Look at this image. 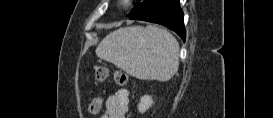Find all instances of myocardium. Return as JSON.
Listing matches in <instances>:
<instances>
[{"instance_id": "obj_1", "label": "myocardium", "mask_w": 273, "mask_h": 118, "mask_svg": "<svg viewBox=\"0 0 273 118\" xmlns=\"http://www.w3.org/2000/svg\"><path fill=\"white\" fill-rule=\"evenodd\" d=\"M130 2H131V1H129V0L120 1L121 5H122L124 8L128 7L129 4H130Z\"/></svg>"}]
</instances>
